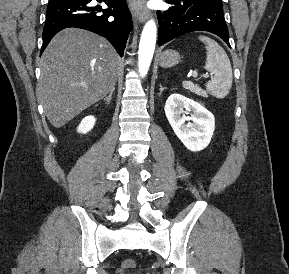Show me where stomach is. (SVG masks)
Wrapping results in <instances>:
<instances>
[{
  "label": "stomach",
  "instance_id": "stomach-1",
  "mask_svg": "<svg viewBox=\"0 0 289 274\" xmlns=\"http://www.w3.org/2000/svg\"><path fill=\"white\" fill-rule=\"evenodd\" d=\"M180 54L175 50H166L159 57V64L163 68H170L180 62Z\"/></svg>",
  "mask_w": 289,
  "mask_h": 274
}]
</instances>
